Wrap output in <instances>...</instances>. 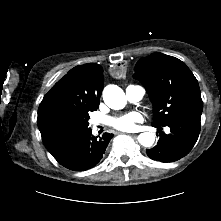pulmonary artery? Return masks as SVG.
<instances>
[{
    "instance_id": "obj_1",
    "label": "pulmonary artery",
    "mask_w": 221,
    "mask_h": 221,
    "mask_svg": "<svg viewBox=\"0 0 221 221\" xmlns=\"http://www.w3.org/2000/svg\"><path fill=\"white\" fill-rule=\"evenodd\" d=\"M125 93L129 101L138 102L143 98L145 90L142 86L139 85H129L126 88ZM94 124H96V122Z\"/></svg>"
}]
</instances>
